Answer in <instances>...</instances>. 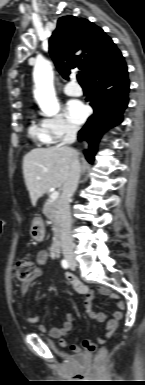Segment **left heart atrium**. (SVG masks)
Here are the masks:
<instances>
[{
	"label": "left heart atrium",
	"mask_w": 145,
	"mask_h": 385,
	"mask_svg": "<svg viewBox=\"0 0 145 385\" xmlns=\"http://www.w3.org/2000/svg\"><path fill=\"white\" fill-rule=\"evenodd\" d=\"M88 115V110L85 105L79 100H71L67 104V116L76 123L80 124L84 122Z\"/></svg>",
	"instance_id": "1"
}]
</instances>
